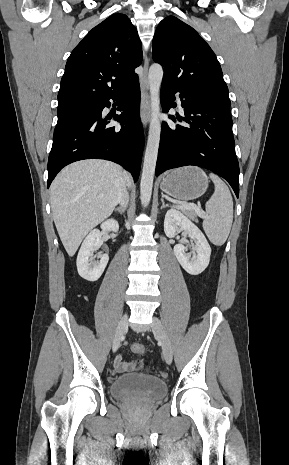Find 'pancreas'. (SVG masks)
Wrapping results in <instances>:
<instances>
[{"mask_svg":"<svg viewBox=\"0 0 289 465\" xmlns=\"http://www.w3.org/2000/svg\"><path fill=\"white\" fill-rule=\"evenodd\" d=\"M182 212L188 216L191 220L197 221V212L192 209H181Z\"/></svg>","mask_w":289,"mask_h":465,"instance_id":"1","label":"pancreas"}]
</instances>
